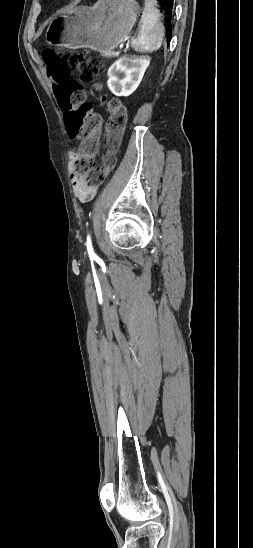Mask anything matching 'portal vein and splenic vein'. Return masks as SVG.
Listing matches in <instances>:
<instances>
[{
	"label": "portal vein and splenic vein",
	"instance_id": "obj_1",
	"mask_svg": "<svg viewBox=\"0 0 253 548\" xmlns=\"http://www.w3.org/2000/svg\"><path fill=\"white\" fill-rule=\"evenodd\" d=\"M118 54H119V51H117V52L115 53V55H118Z\"/></svg>",
	"mask_w": 253,
	"mask_h": 548
}]
</instances>
